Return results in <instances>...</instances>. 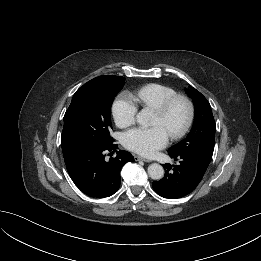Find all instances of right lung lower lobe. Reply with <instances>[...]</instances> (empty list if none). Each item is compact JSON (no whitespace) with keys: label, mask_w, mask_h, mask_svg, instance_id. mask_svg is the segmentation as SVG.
<instances>
[{"label":"right lung lower lobe","mask_w":261,"mask_h":261,"mask_svg":"<svg viewBox=\"0 0 261 261\" xmlns=\"http://www.w3.org/2000/svg\"><path fill=\"white\" fill-rule=\"evenodd\" d=\"M113 142L105 146L84 148L67 155L64 161L75 185L86 195L104 198L118 191L121 183L120 171L134 157L127 151L119 150ZM117 152L116 156L106 158V152Z\"/></svg>","instance_id":"right-lung-lower-lobe-1"}]
</instances>
